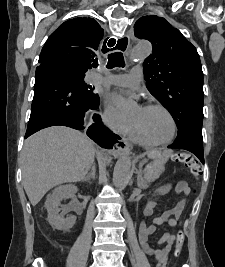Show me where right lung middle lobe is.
<instances>
[{
    "label": "right lung middle lobe",
    "instance_id": "1",
    "mask_svg": "<svg viewBox=\"0 0 225 267\" xmlns=\"http://www.w3.org/2000/svg\"><path fill=\"white\" fill-rule=\"evenodd\" d=\"M74 78L84 96L97 108L99 106V96L97 93H95L94 87L84 83V75L74 74Z\"/></svg>",
    "mask_w": 225,
    "mask_h": 267
}]
</instances>
